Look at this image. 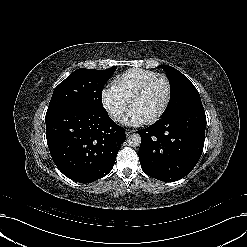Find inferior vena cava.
Segmentation results:
<instances>
[{"label":"inferior vena cava","instance_id":"obj_1","mask_svg":"<svg viewBox=\"0 0 247 247\" xmlns=\"http://www.w3.org/2000/svg\"><path fill=\"white\" fill-rule=\"evenodd\" d=\"M122 115H123L122 112L118 111V110L111 112V118L114 121H119L121 119Z\"/></svg>","mask_w":247,"mask_h":247}]
</instances>
